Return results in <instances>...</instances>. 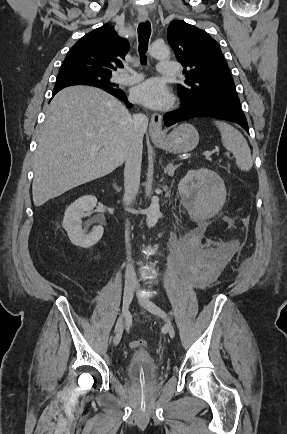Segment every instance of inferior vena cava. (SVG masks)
<instances>
[{
    "instance_id": "inferior-vena-cava-1",
    "label": "inferior vena cava",
    "mask_w": 287,
    "mask_h": 434,
    "mask_svg": "<svg viewBox=\"0 0 287 434\" xmlns=\"http://www.w3.org/2000/svg\"><path fill=\"white\" fill-rule=\"evenodd\" d=\"M134 127V138L132 145L125 160L124 169V197L123 201L128 206L130 205L139 190L141 162H142V140L148 125V117L142 113L135 114L132 117ZM129 224L126 223L125 242L128 254V264L125 271V282L136 283L137 277L132 264L130 263V243H129Z\"/></svg>"
}]
</instances>
